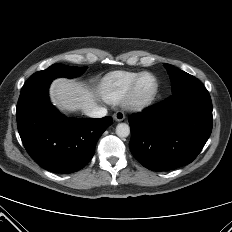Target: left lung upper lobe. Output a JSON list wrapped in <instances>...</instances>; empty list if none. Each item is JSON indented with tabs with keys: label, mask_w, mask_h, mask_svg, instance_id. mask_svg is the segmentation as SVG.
<instances>
[{
	"label": "left lung upper lobe",
	"mask_w": 232,
	"mask_h": 232,
	"mask_svg": "<svg viewBox=\"0 0 232 232\" xmlns=\"http://www.w3.org/2000/svg\"><path fill=\"white\" fill-rule=\"evenodd\" d=\"M165 67L170 75L172 81V92L176 93L184 88L201 84V82L194 76L170 65L165 64Z\"/></svg>",
	"instance_id": "left-lung-upper-lobe-1"
}]
</instances>
